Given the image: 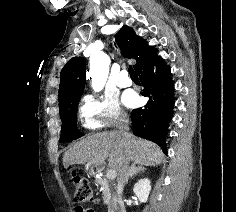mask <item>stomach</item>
I'll use <instances>...</instances> for the list:
<instances>
[{
  "label": "stomach",
  "mask_w": 236,
  "mask_h": 212,
  "mask_svg": "<svg viewBox=\"0 0 236 212\" xmlns=\"http://www.w3.org/2000/svg\"><path fill=\"white\" fill-rule=\"evenodd\" d=\"M85 170L90 174V175H94L96 173V168L94 166H89L86 165L85 166Z\"/></svg>",
  "instance_id": "0dacf381"
}]
</instances>
